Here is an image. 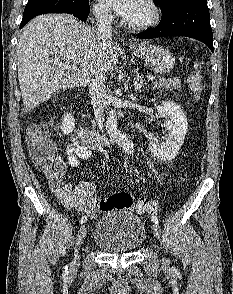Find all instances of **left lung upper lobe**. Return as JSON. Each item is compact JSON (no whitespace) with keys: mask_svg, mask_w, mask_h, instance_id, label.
Wrapping results in <instances>:
<instances>
[{"mask_svg":"<svg viewBox=\"0 0 233 294\" xmlns=\"http://www.w3.org/2000/svg\"><path fill=\"white\" fill-rule=\"evenodd\" d=\"M155 4H158L161 10H165L169 5L177 0H153Z\"/></svg>","mask_w":233,"mask_h":294,"instance_id":"1","label":"left lung upper lobe"}]
</instances>
